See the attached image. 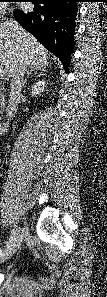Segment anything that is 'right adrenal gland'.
Here are the masks:
<instances>
[{
	"label": "right adrenal gland",
	"mask_w": 107,
	"mask_h": 297,
	"mask_svg": "<svg viewBox=\"0 0 107 297\" xmlns=\"http://www.w3.org/2000/svg\"><path fill=\"white\" fill-rule=\"evenodd\" d=\"M47 63H44V64H41V65H33L30 69V71L27 72V77L25 79V86L24 87H27V85H29V81L28 79L31 78V77H37L36 75L38 74V72L41 74L42 71H45V68L44 67Z\"/></svg>",
	"instance_id": "obj_1"
}]
</instances>
